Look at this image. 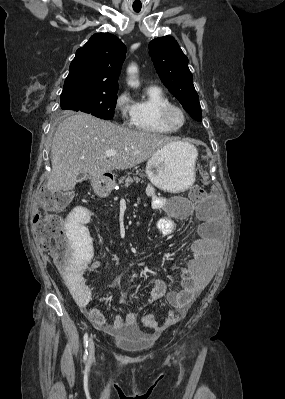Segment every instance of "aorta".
Segmentation results:
<instances>
[{
  "label": "aorta",
  "mask_w": 285,
  "mask_h": 399,
  "mask_svg": "<svg viewBox=\"0 0 285 399\" xmlns=\"http://www.w3.org/2000/svg\"><path fill=\"white\" fill-rule=\"evenodd\" d=\"M127 73L129 75L128 85L131 87H138L139 86V81L137 79L138 67L135 64H131L127 68Z\"/></svg>",
  "instance_id": "1"
}]
</instances>
